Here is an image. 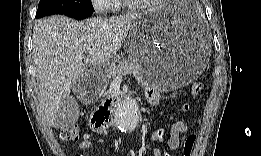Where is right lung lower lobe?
<instances>
[{"label":"right lung lower lobe","instance_id":"1","mask_svg":"<svg viewBox=\"0 0 261 156\" xmlns=\"http://www.w3.org/2000/svg\"><path fill=\"white\" fill-rule=\"evenodd\" d=\"M93 12H77L74 13L71 17L76 18V19H85L91 16Z\"/></svg>","mask_w":261,"mask_h":156}]
</instances>
